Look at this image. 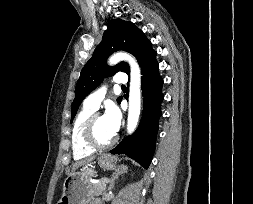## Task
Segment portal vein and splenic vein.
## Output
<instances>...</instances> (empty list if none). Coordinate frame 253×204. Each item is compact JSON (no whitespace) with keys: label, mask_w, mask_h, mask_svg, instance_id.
<instances>
[{"label":"portal vein and splenic vein","mask_w":253,"mask_h":204,"mask_svg":"<svg viewBox=\"0 0 253 204\" xmlns=\"http://www.w3.org/2000/svg\"><path fill=\"white\" fill-rule=\"evenodd\" d=\"M103 182L108 183V180L105 179V180H103Z\"/></svg>","instance_id":"obj_1"}]
</instances>
